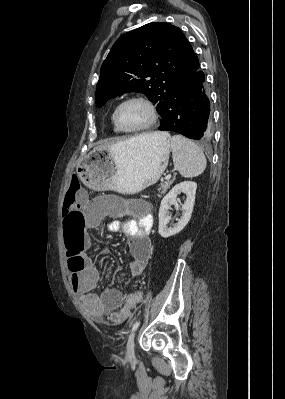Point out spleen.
Segmentation results:
<instances>
[{
	"label": "spleen",
	"instance_id": "1",
	"mask_svg": "<svg viewBox=\"0 0 285 399\" xmlns=\"http://www.w3.org/2000/svg\"><path fill=\"white\" fill-rule=\"evenodd\" d=\"M171 150L174 167L180 175L192 178L202 174L206 168V158L202 149L182 135L171 138Z\"/></svg>",
	"mask_w": 285,
	"mask_h": 399
}]
</instances>
